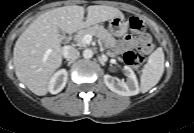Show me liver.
I'll return each instance as SVG.
<instances>
[{"instance_id": "obj_1", "label": "liver", "mask_w": 194, "mask_h": 133, "mask_svg": "<svg viewBox=\"0 0 194 133\" xmlns=\"http://www.w3.org/2000/svg\"><path fill=\"white\" fill-rule=\"evenodd\" d=\"M71 5L55 8L41 14L17 39L14 50V68L17 78L38 96L48 92L49 80L62 63V37L67 34L123 16L117 8L93 5L87 8ZM51 50L46 55L47 50Z\"/></svg>"}]
</instances>
